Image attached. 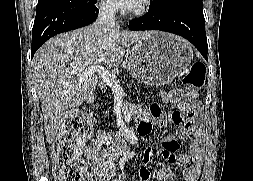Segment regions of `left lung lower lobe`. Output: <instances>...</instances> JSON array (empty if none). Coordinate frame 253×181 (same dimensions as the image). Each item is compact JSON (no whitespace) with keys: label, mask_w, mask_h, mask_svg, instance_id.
<instances>
[{"label":"left lung lower lobe","mask_w":253,"mask_h":181,"mask_svg":"<svg viewBox=\"0 0 253 181\" xmlns=\"http://www.w3.org/2000/svg\"><path fill=\"white\" fill-rule=\"evenodd\" d=\"M130 30H161L174 33L190 41L207 59V38L202 1H166L156 9H149L141 18L129 22Z\"/></svg>","instance_id":"0a47b994"}]
</instances>
